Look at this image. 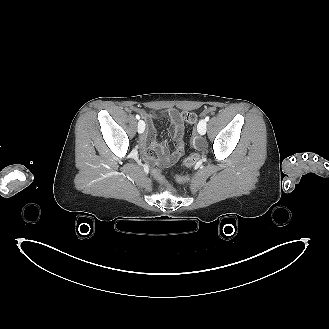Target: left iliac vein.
Listing matches in <instances>:
<instances>
[{"label": "left iliac vein", "instance_id": "1", "mask_svg": "<svg viewBox=\"0 0 329 329\" xmlns=\"http://www.w3.org/2000/svg\"><path fill=\"white\" fill-rule=\"evenodd\" d=\"M197 130L200 135H204L207 130V123L205 120H201L197 125Z\"/></svg>", "mask_w": 329, "mask_h": 329}]
</instances>
